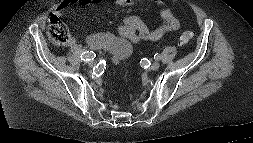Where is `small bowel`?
Returning <instances> with one entry per match:
<instances>
[{
	"label": "small bowel",
	"instance_id": "c3829d8e",
	"mask_svg": "<svg viewBox=\"0 0 253 143\" xmlns=\"http://www.w3.org/2000/svg\"><path fill=\"white\" fill-rule=\"evenodd\" d=\"M102 0H63L57 7L55 14L60 15L63 10L73 4H94ZM122 6L133 5L139 0H115ZM157 4H162L163 0H151ZM161 23L155 28L150 29L139 17L128 16L120 25L119 35L131 44L140 41H156L165 34L179 28L180 22L169 7H165L160 13ZM86 44L93 50H110L116 44L117 40L110 33H90L85 38ZM75 45V42H73Z\"/></svg>",
	"mask_w": 253,
	"mask_h": 143
}]
</instances>
